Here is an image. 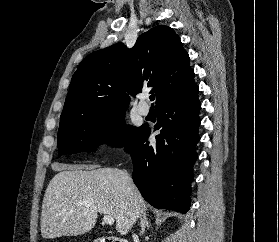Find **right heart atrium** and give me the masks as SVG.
I'll return each instance as SVG.
<instances>
[{
	"instance_id": "d8ad5b80",
	"label": "right heart atrium",
	"mask_w": 279,
	"mask_h": 242,
	"mask_svg": "<svg viewBox=\"0 0 279 242\" xmlns=\"http://www.w3.org/2000/svg\"><path fill=\"white\" fill-rule=\"evenodd\" d=\"M125 140V128L117 123L109 127L100 139V146L105 152H116L123 146Z\"/></svg>"
}]
</instances>
